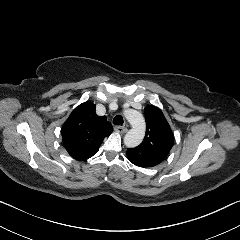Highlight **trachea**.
I'll return each instance as SVG.
<instances>
[{
	"instance_id": "obj_1",
	"label": "trachea",
	"mask_w": 240,
	"mask_h": 240,
	"mask_svg": "<svg viewBox=\"0 0 240 240\" xmlns=\"http://www.w3.org/2000/svg\"><path fill=\"white\" fill-rule=\"evenodd\" d=\"M124 122L123 117L121 115H116L113 119L114 125H122Z\"/></svg>"
}]
</instances>
